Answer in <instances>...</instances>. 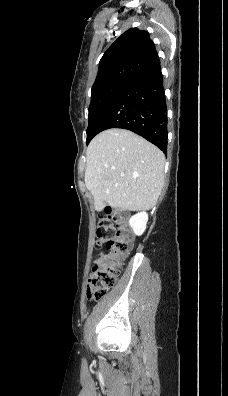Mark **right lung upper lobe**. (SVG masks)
<instances>
[{"label":"right lung upper lobe","mask_w":228,"mask_h":396,"mask_svg":"<svg viewBox=\"0 0 228 396\" xmlns=\"http://www.w3.org/2000/svg\"><path fill=\"white\" fill-rule=\"evenodd\" d=\"M157 59L158 54L149 33L131 28L104 53L92 89L114 82L129 84Z\"/></svg>","instance_id":"cb5924a9"}]
</instances>
